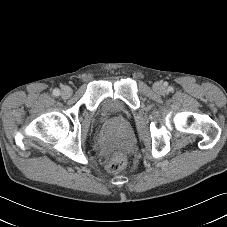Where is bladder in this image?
Instances as JSON below:
<instances>
[{"mask_svg":"<svg viewBox=\"0 0 227 227\" xmlns=\"http://www.w3.org/2000/svg\"><path fill=\"white\" fill-rule=\"evenodd\" d=\"M126 114V108L121 101L115 98H104L97 108V122L106 123L113 118Z\"/></svg>","mask_w":227,"mask_h":227,"instance_id":"obj_1","label":"bladder"}]
</instances>
